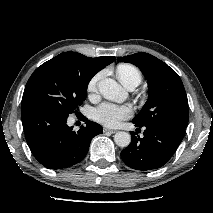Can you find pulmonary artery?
Returning <instances> with one entry per match:
<instances>
[{
    "label": "pulmonary artery",
    "instance_id": "1",
    "mask_svg": "<svg viewBox=\"0 0 213 213\" xmlns=\"http://www.w3.org/2000/svg\"><path fill=\"white\" fill-rule=\"evenodd\" d=\"M138 84L135 83V82H132L130 84H128L126 87L129 89V90H133Z\"/></svg>",
    "mask_w": 213,
    "mask_h": 213
}]
</instances>
